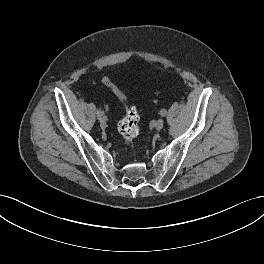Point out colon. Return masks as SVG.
<instances>
[{"instance_id": "5ec220e1", "label": "colon", "mask_w": 264, "mask_h": 264, "mask_svg": "<svg viewBox=\"0 0 264 264\" xmlns=\"http://www.w3.org/2000/svg\"><path fill=\"white\" fill-rule=\"evenodd\" d=\"M104 85L109 88L124 104L125 114L118 123V131L126 144H130L139 134V113L136 107L130 104L128 97L122 93L108 78H103Z\"/></svg>"}]
</instances>
